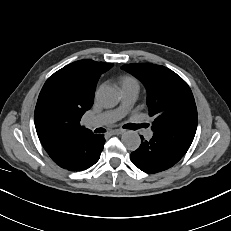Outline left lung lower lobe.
Returning <instances> with one entry per match:
<instances>
[{"instance_id": "obj_1", "label": "left lung lower lobe", "mask_w": 231, "mask_h": 231, "mask_svg": "<svg viewBox=\"0 0 231 231\" xmlns=\"http://www.w3.org/2000/svg\"><path fill=\"white\" fill-rule=\"evenodd\" d=\"M137 150L131 153L132 163L146 173H157L175 165L190 146L169 137L153 134L148 141L143 140Z\"/></svg>"}]
</instances>
